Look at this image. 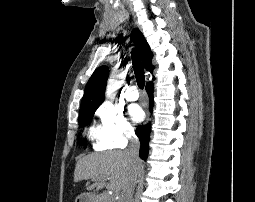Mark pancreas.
<instances>
[{"label": "pancreas", "instance_id": "cf45deb5", "mask_svg": "<svg viewBox=\"0 0 255 202\" xmlns=\"http://www.w3.org/2000/svg\"><path fill=\"white\" fill-rule=\"evenodd\" d=\"M96 202H115V200L107 193H102L96 197Z\"/></svg>", "mask_w": 255, "mask_h": 202}]
</instances>
